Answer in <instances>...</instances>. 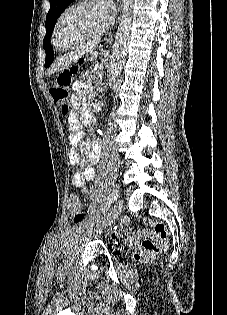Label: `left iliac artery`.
Listing matches in <instances>:
<instances>
[{"label": "left iliac artery", "instance_id": "obj_1", "mask_svg": "<svg viewBox=\"0 0 227 315\" xmlns=\"http://www.w3.org/2000/svg\"><path fill=\"white\" fill-rule=\"evenodd\" d=\"M116 200V194L115 193H111L108 198H107V201L104 205V208H103V214L105 215V212H107L109 209H110V206L111 204Z\"/></svg>", "mask_w": 227, "mask_h": 315}]
</instances>
